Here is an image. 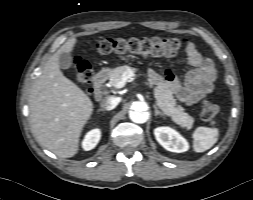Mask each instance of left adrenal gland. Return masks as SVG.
Listing matches in <instances>:
<instances>
[{
	"label": "left adrenal gland",
	"instance_id": "obj_1",
	"mask_svg": "<svg viewBox=\"0 0 253 200\" xmlns=\"http://www.w3.org/2000/svg\"><path fill=\"white\" fill-rule=\"evenodd\" d=\"M153 107H154V111H155V116H157V115L163 116V114L158 110L156 104H154Z\"/></svg>",
	"mask_w": 253,
	"mask_h": 200
}]
</instances>
